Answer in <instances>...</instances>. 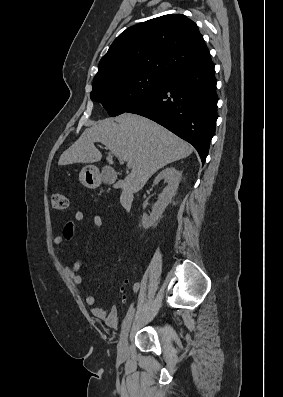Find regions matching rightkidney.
I'll list each match as a JSON object with an SVG mask.
<instances>
[{
  "mask_svg": "<svg viewBox=\"0 0 283 397\" xmlns=\"http://www.w3.org/2000/svg\"><path fill=\"white\" fill-rule=\"evenodd\" d=\"M163 179L168 181V186L159 195L158 201L152 209V213L149 216L143 215L142 226L145 229H149L157 223L165 208L171 202V199L178 189L181 173L174 167L165 168L156 176L154 184H158Z\"/></svg>",
  "mask_w": 283,
  "mask_h": 397,
  "instance_id": "1",
  "label": "right kidney"
}]
</instances>
